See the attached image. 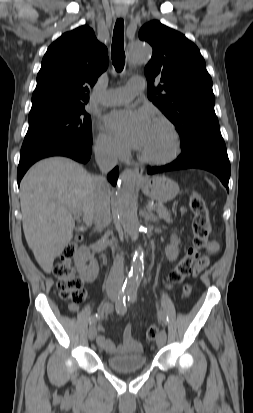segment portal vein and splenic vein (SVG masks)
<instances>
[{
	"label": "portal vein and splenic vein",
	"mask_w": 253,
	"mask_h": 413,
	"mask_svg": "<svg viewBox=\"0 0 253 413\" xmlns=\"http://www.w3.org/2000/svg\"><path fill=\"white\" fill-rule=\"evenodd\" d=\"M147 208L150 209V210H153V209H154V205H153V204H148V205H147ZM73 214H74V216H79V215H80V212H79L78 210H73Z\"/></svg>",
	"instance_id": "portal-vein-and-splenic-vein-1"
}]
</instances>
